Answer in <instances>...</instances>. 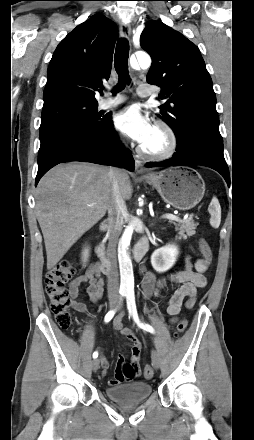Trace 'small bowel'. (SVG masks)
Instances as JSON below:
<instances>
[{"label": "small bowel", "mask_w": 254, "mask_h": 440, "mask_svg": "<svg viewBox=\"0 0 254 440\" xmlns=\"http://www.w3.org/2000/svg\"><path fill=\"white\" fill-rule=\"evenodd\" d=\"M207 269V263L198 259L194 264L189 257L185 258L184 268L180 271L171 273L167 277L159 278L152 271L145 270L142 278V292L146 299L156 297L161 289L168 283L179 284V288L172 294L167 312L174 322L180 313L182 305L185 302L186 308H192L195 304L197 291L206 287L207 279L204 275ZM82 286H86V291L93 302H99L103 296V280L100 277V269L97 263L92 264L82 275L76 277L70 282L69 293L71 297V306L78 312H87L88 309L83 302L77 301L79 291ZM115 330L125 337L130 347V364L139 372L140 354L142 344L136 334L125 327L122 317H116L113 322ZM102 352V349H100ZM101 364L103 372L108 368L107 359L102 356ZM124 357L119 355L115 375L108 381L110 387L117 386L125 382L123 375Z\"/></svg>", "instance_id": "obj_1"}]
</instances>
